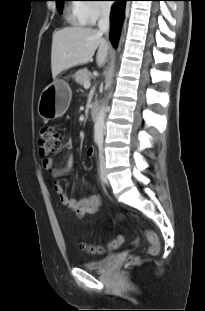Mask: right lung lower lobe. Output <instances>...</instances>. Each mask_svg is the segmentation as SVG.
I'll return each mask as SVG.
<instances>
[{
	"mask_svg": "<svg viewBox=\"0 0 205 311\" xmlns=\"http://www.w3.org/2000/svg\"><path fill=\"white\" fill-rule=\"evenodd\" d=\"M117 5H114L110 14L111 21V31H110V40L112 45L116 47V42L119 35V30L122 24L123 19V2L127 0H116Z\"/></svg>",
	"mask_w": 205,
	"mask_h": 311,
	"instance_id": "obj_1",
	"label": "right lung lower lobe"
}]
</instances>
